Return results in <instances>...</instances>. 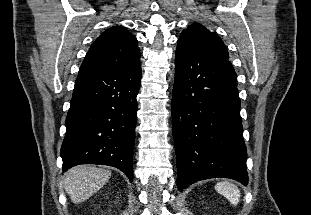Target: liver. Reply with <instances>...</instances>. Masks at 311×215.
Returning a JSON list of instances; mask_svg holds the SVG:
<instances>
[{
  "mask_svg": "<svg viewBox=\"0 0 311 215\" xmlns=\"http://www.w3.org/2000/svg\"><path fill=\"white\" fill-rule=\"evenodd\" d=\"M110 176V170L90 165L76 166L66 173L64 188L71 201L78 204L100 190Z\"/></svg>",
  "mask_w": 311,
  "mask_h": 215,
  "instance_id": "6515ba94",
  "label": "liver"
}]
</instances>
